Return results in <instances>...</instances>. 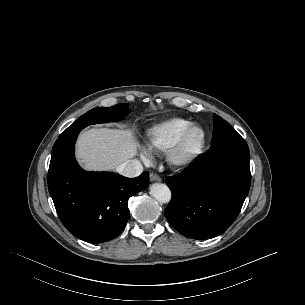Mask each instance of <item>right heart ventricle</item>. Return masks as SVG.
<instances>
[{
  "mask_svg": "<svg viewBox=\"0 0 305 305\" xmlns=\"http://www.w3.org/2000/svg\"><path fill=\"white\" fill-rule=\"evenodd\" d=\"M190 125L189 120L180 117L164 120L148 129L147 143L153 149L168 150L174 146L184 130Z\"/></svg>",
  "mask_w": 305,
  "mask_h": 305,
  "instance_id": "1",
  "label": "right heart ventricle"
}]
</instances>
